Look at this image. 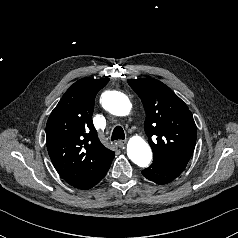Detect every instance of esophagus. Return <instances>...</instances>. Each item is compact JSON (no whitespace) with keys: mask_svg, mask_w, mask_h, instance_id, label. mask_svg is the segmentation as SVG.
Returning a JSON list of instances; mask_svg holds the SVG:
<instances>
[{"mask_svg":"<svg viewBox=\"0 0 238 238\" xmlns=\"http://www.w3.org/2000/svg\"><path fill=\"white\" fill-rule=\"evenodd\" d=\"M116 144L119 146V147H123L125 144H126V140H118L116 142Z\"/></svg>","mask_w":238,"mask_h":238,"instance_id":"34e87169","label":"esophagus"}]
</instances>
